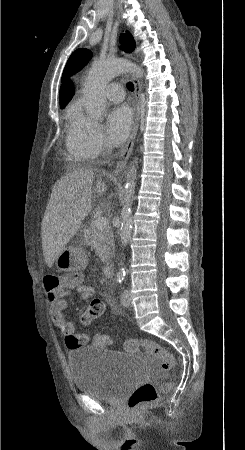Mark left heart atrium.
I'll return each mask as SVG.
<instances>
[{"label": "left heart atrium", "mask_w": 245, "mask_h": 450, "mask_svg": "<svg viewBox=\"0 0 245 450\" xmlns=\"http://www.w3.org/2000/svg\"><path fill=\"white\" fill-rule=\"evenodd\" d=\"M133 124V114L126 105L112 108L107 115V134L112 145H121L127 139Z\"/></svg>", "instance_id": "obj_1"}]
</instances>
